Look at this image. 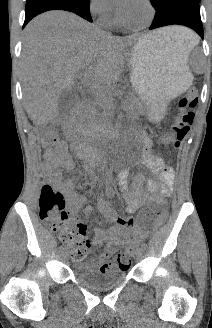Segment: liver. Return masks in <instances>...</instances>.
<instances>
[{"label": "liver", "mask_w": 212, "mask_h": 328, "mask_svg": "<svg viewBox=\"0 0 212 328\" xmlns=\"http://www.w3.org/2000/svg\"><path fill=\"white\" fill-rule=\"evenodd\" d=\"M185 33L182 27H166L142 37L182 48ZM134 42L132 37H115L66 11L35 17L24 30L20 64L24 106L32 122L42 126L56 120L58 98L75 87L80 69L91 67L93 75L84 82L96 94L117 82L126 51Z\"/></svg>", "instance_id": "1"}]
</instances>
